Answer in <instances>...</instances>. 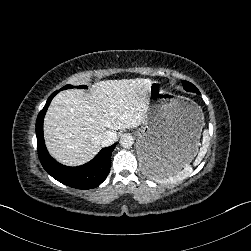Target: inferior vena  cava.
<instances>
[{
    "label": "inferior vena cava",
    "instance_id": "602c4592",
    "mask_svg": "<svg viewBox=\"0 0 251 251\" xmlns=\"http://www.w3.org/2000/svg\"><path fill=\"white\" fill-rule=\"evenodd\" d=\"M117 141V133L113 130H106L100 134V142L103 147L112 145Z\"/></svg>",
    "mask_w": 251,
    "mask_h": 251
}]
</instances>
